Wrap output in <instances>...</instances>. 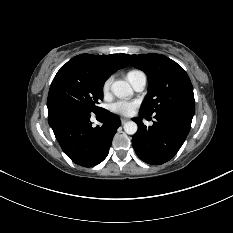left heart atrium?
Instances as JSON below:
<instances>
[{"label": "left heart atrium", "instance_id": "obj_1", "mask_svg": "<svg viewBox=\"0 0 233 233\" xmlns=\"http://www.w3.org/2000/svg\"><path fill=\"white\" fill-rule=\"evenodd\" d=\"M138 101H126V100H119L110 105V110L113 113L130 116L134 113L136 108L138 107Z\"/></svg>", "mask_w": 233, "mask_h": 233}]
</instances>
